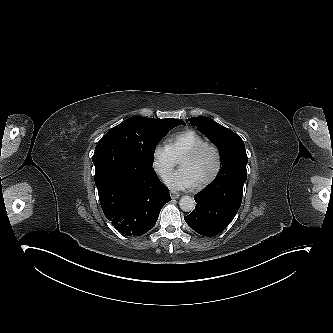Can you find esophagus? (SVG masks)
<instances>
[{"label":"esophagus","instance_id":"34e87169","mask_svg":"<svg viewBox=\"0 0 333 333\" xmlns=\"http://www.w3.org/2000/svg\"><path fill=\"white\" fill-rule=\"evenodd\" d=\"M170 195H171V198H172V199H177V198H179V196H180L179 193H177V192H175V191H173V190L170 191Z\"/></svg>","mask_w":333,"mask_h":333}]
</instances>
